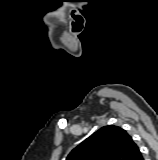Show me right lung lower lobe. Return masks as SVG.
Here are the masks:
<instances>
[{
	"label": "right lung lower lobe",
	"mask_w": 158,
	"mask_h": 160,
	"mask_svg": "<svg viewBox=\"0 0 158 160\" xmlns=\"http://www.w3.org/2000/svg\"><path fill=\"white\" fill-rule=\"evenodd\" d=\"M137 160H144V159H143V156L140 155V156L137 158Z\"/></svg>",
	"instance_id": "1"
}]
</instances>
